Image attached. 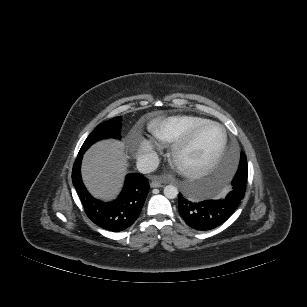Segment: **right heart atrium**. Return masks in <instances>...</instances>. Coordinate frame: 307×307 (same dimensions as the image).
I'll list each match as a JSON object with an SVG mask.
<instances>
[{
	"label": "right heart atrium",
	"instance_id": "right-heart-atrium-1",
	"mask_svg": "<svg viewBox=\"0 0 307 307\" xmlns=\"http://www.w3.org/2000/svg\"><path fill=\"white\" fill-rule=\"evenodd\" d=\"M137 160L143 169H151L155 166L161 146L149 137H140L137 140Z\"/></svg>",
	"mask_w": 307,
	"mask_h": 307
}]
</instances>
